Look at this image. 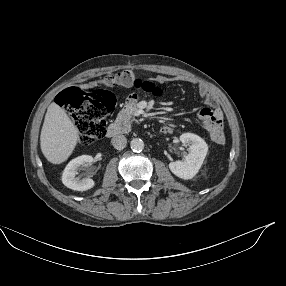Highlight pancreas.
Here are the masks:
<instances>
[{
    "instance_id": "cf45deb5",
    "label": "pancreas",
    "mask_w": 286,
    "mask_h": 286,
    "mask_svg": "<svg viewBox=\"0 0 286 286\" xmlns=\"http://www.w3.org/2000/svg\"><path fill=\"white\" fill-rule=\"evenodd\" d=\"M134 109L132 105L125 106V108L119 112L117 122L120 123L129 120L130 116L134 113Z\"/></svg>"
}]
</instances>
